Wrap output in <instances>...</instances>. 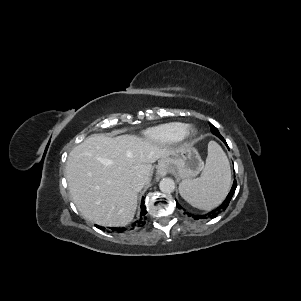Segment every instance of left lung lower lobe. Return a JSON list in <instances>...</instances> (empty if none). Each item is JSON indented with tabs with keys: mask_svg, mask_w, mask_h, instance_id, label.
I'll list each match as a JSON object with an SVG mask.
<instances>
[{
	"mask_svg": "<svg viewBox=\"0 0 301 301\" xmlns=\"http://www.w3.org/2000/svg\"><path fill=\"white\" fill-rule=\"evenodd\" d=\"M213 134H215L218 138H220L224 143L225 145L228 147L226 141L224 140V138L221 136V134L219 133L218 130H215L212 132ZM229 148V147H228ZM236 187H237V183H236V180H234L233 182V186L228 194V196L226 197V199L223 201V203L218 207L216 208L215 210L209 212L208 214L206 215H194V214H190V213H187L188 216H191L193 217L194 219L198 220V219H206V218H214L216 217L221 211H224L229 203H230V200L232 198V196L234 195V192L236 190ZM178 208H181V206L178 205V203L176 204Z\"/></svg>",
	"mask_w": 301,
	"mask_h": 301,
	"instance_id": "0a47b994",
	"label": "left lung lower lobe"
}]
</instances>
